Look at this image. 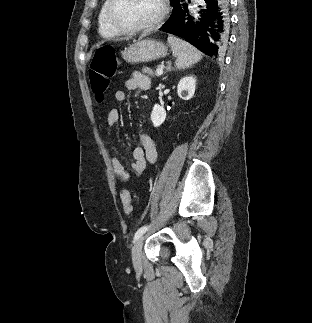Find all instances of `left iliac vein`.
<instances>
[{
    "instance_id": "left-iliac-vein-1",
    "label": "left iliac vein",
    "mask_w": 312,
    "mask_h": 323,
    "mask_svg": "<svg viewBox=\"0 0 312 323\" xmlns=\"http://www.w3.org/2000/svg\"><path fill=\"white\" fill-rule=\"evenodd\" d=\"M144 236H140L132 249V261L136 270L142 268V247Z\"/></svg>"
}]
</instances>
